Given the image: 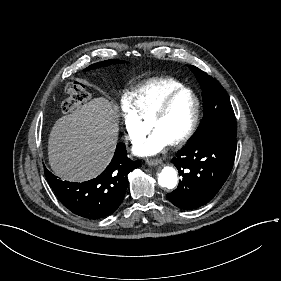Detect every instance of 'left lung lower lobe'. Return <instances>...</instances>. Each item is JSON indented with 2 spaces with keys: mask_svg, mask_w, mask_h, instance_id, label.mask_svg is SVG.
<instances>
[{
  "mask_svg": "<svg viewBox=\"0 0 281 281\" xmlns=\"http://www.w3.org/2000/svg\"><path fill=\"white\" fill-rule=\"evenodd\" d=\"M236 137L206 133L191 138L172 162L183 179L168 200L181 209H196L208 203L228 178L236 154Z\"/></svg>",
  "mask_w": 281,
  "mask_h": 281,
  "instance_id": "0a47b994",
  "label": "left lung lower lobe"
}]
</instances>
